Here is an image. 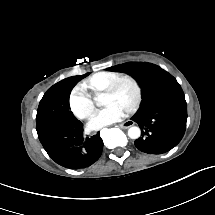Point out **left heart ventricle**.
Masks as SVG:
<instances>
[{
    "label": "left heart ventricle",
    "mask_w": 215,
    "mask_h": 215,
    "mask_svg": "<svg viewBox=\"0 0 215 215\" xmlns=\"http://www.w3.org/2000/svg\"><path fill=\"white\" fill-rule=\"evenodd\" d=\"M115 98L116 100L121 103L124 104L128 98H129V90L127 87L125 86H121L115 93Z\"/></svg>",
    "instance_id": "obj_1"
}]
</instances>
